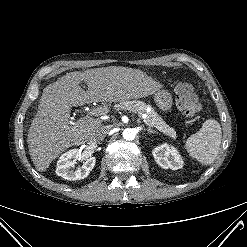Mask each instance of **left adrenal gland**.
<instances>
[{"label": "left adrenal gland", "instance_id": "left-adrenal-gland-1", "mask_svg": "<svg viewBox=\"0 0 247 247\" xmlns=\"http://www.w3.org/2000/svg\"><path fill=\"white\" fill-rule=\"evenodd\" d=\"M147 132H148V134H150V135H151V134H156V131H154V130H152V129H148Z\"/></svg>", "mask_w": 247, "mask_h": 247}]
</instances>
